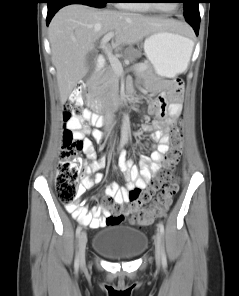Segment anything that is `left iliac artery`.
<instances>
[{
    "label": "left iliac artery",
    "mask_w": 239,
    "mask_h": 296,
    "mask_svg": "<svg viewBox=\"0 0 239 296\" xmlns=\"http://www.w3.org/2000/svg\"><path fill=\"white\" fill-rule=\"evenodd\" d=\"M158 227L160 229V233H161V236L163 238L164 237V232H165L163 223L159 222ZM162 266H163L164 269L167 267V258H166V254H165L164 249H163V253H162Z\"/></svg>",
    "instance_id": "1"
}]
</instances>
